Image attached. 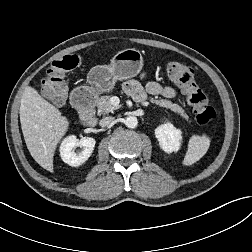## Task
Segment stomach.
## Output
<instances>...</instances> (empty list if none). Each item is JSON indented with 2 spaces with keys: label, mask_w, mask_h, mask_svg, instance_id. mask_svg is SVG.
Here are the masks:
<instances>
[{
  "label": "stomach",
  "mask_w": 252,
  "mask_h": 252,
  "mask_svg": "<svg viewBox=\"0 0 252 252\" xmlns=\"http://www.w3.org/2000/svg\"><path fill=\"white\" fill-rule=\"evenodd\" d=\"M143 67L141 51L128 48L119 51L109 65L93 67L88 75L90 86L78 87L77 91H88L92 94L111 91L117 80H126L136 76Z\"/></svg>",
  "instance_id": "0dacf381"
}]
</instances>
